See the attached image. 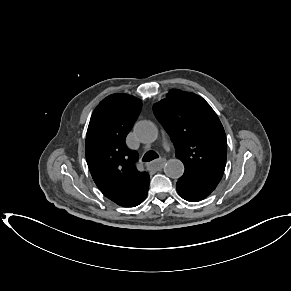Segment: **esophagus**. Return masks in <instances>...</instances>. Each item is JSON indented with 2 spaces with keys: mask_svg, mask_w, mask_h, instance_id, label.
<instances>
[{
  "mask_svg": "<svg viewBox=\"0 0 291 291\" xmlns=\"http://www.w3.org/2000/svg\"><path fill=\"white\" fill-rule=\"evenodd\" d=\"M166 162V159L160 158L150 164V167L155 170H161Z\"/></svg>",
  "mask_w": 291,
  "mask_h": 291,
  "instance_id": "1",
  "label": "esophagus"
}]
</instances>
